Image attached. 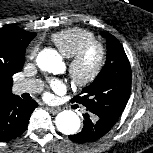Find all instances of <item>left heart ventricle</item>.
Masks as SVG:
<instances>
[{
    "instance_id": "obj_1",
    "label": "left heart ventricle",
    "mask_w": 153,
    "mask_h": 153,
    "mask_svg": "<svg viewBox=\"0 0 153 153\" xmlns=\"http://www.w3.org/2000/svg\"><path fill=\"white\" fill-rule=\"evenodd\" d=\"M98 57V52L96 49H92L91 51L88 52L86 57L84 58L82 64H81V72L83 74L89 73L93 67L96 64Z\"/></svg>"
}]
</instances>
